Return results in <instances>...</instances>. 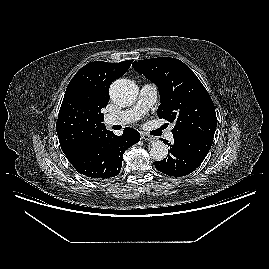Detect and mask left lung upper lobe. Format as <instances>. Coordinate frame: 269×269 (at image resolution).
<instances>
[{
    "mask_svg": "<svg viewBox=\"0 0 269 269\" xmlns=\"http://www.w3.org/2000/svg\"><path fill=\"white\" fill-rule=\"evenodd\" d=\"M132 66L157 85L161 102L157 115L175 124L173 136L214 138L217 125L214 103L187 65L163 57L134 61Z\"/></svg>",
    "mask_w": 269,
    "mask_h": 269,
    "instance_id": "5c2ea615",
    "label": "left lung upper lobe"
}]
</instances>
